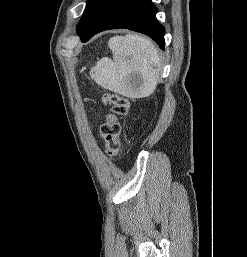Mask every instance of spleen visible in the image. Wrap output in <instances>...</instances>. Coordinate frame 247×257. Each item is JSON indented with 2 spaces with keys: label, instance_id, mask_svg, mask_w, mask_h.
<instances>
[{
  "label": "spleen",
  "instance_id": "3e777b00",
  "mask_svg": "<svg viewBox=\"0 0 247 257\" xmlns=\"http://www.w3.org/2000/svg\"><path fill=\"white\" fill-rule=\"evenodd\" d=\"M113 60L102 58L90 71L100 86L130 98L151 95L158 82L161 61L155 45L145 37L127 34L109 40ZM137 74L139 84L133 87L130 75Z\"/></svg>",
  "mask_w": 247,
  "mask_h": 257
}]
</instances>
